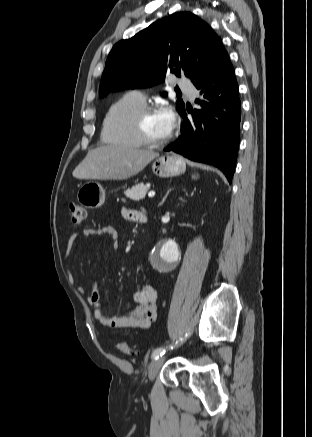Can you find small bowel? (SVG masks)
<instances>
[{
	"mask_svg": "<svg viewBox=\"0 0 312 437\" xmlns=\"http://www.w3.org/2000/svg\"><path fill=\"white\" fill-rule=\"evenodd\" d=\"M122 216L132 222L142 223L146 217L144 213L124 207ZM91 235H108L115 247L119 243V233L113 226H103L98 229H84L79 233H74L71 241H75L79 237H88ZM74 284V280H71ZM79 292H83V287H78ZM134 299L137 306L125 313L111 316L106 313L103 304L100 301V291L97 282H93L90 294L87 297L88 303L93 307L95 319L102 325L108 328H149L157 317V290L149 284H144L134 294Z\"/></svg>",
	"mask_w": 312,
	"mask_h": 437,
	"instance_id": "small-bowel-1",
	"label": "small bowel"
}]
</instances>
